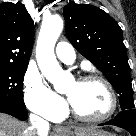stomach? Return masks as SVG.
Here are the masks:
<instances>
[{"mask_svg": "<svg viewBox=\"0 0 136 136\" xmlns=\"http://www.w3.org/2000/svg\"><path fill=\"white\" fill-rule=\"evenodd\" d=\"M58 136H113V135L103 130L93 129L92 131H88L84 133L75 132V135L67 131L65 133L59 134Z\"/></svg>", "mask_w": 136, "mask_h": 136, "instance_id": "1", "label": "stomach"}]
</instances>
